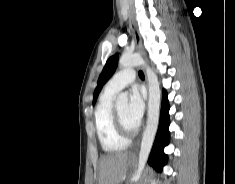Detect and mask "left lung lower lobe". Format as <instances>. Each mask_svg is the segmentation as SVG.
I'll return each mask as SVG.
<instances>
[{
	"label": "left lung lower lobe",
	"mask_w": 235,
	"mask_h": 184,
	"mask_svg": "<svg viewBox=\"0 0 235 184\" xmlns=\"http://www.w3.org/2000/svg\"><path fill=\"white\" fill-rule=\"evenodd\" d=\"M169 103L166 91H163L160 125L155 138V142L148 160V163L157 171L161 172L162 167L167 163L168 156L164 154L163 149L169 143Z\"/></svg>",
	"instance_id": "1"
}]
</instances>
